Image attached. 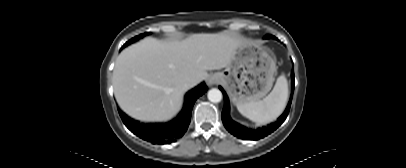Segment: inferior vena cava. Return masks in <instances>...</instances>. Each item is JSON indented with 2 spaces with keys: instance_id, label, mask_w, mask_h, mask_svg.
<instances>
[{
  "instance_id": "inferior-vena-cava-1",
  "label": "inferior vena cava",
  "mask_w": 406,
  "mask_h": 168,
  "mask_svg": "<svg viewBox=\"0 0 406 168\" xmlns=\"http://www.w3.org/2000/svg\"><path fill=\"white\" fill-rule=\"evenodd\" d=\"M194 82H195V79L190 78V79H188V81H187V83H186V86H187V87H190Z\"/></svg>"
}]
</instances>
